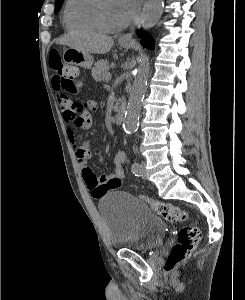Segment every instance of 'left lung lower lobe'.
<instances>
[{"mask_svg":"<svg viewBox=\"0 0 245 300\" xmlns=\"http://www.w3.org/2000/svg\"><path fill=\"white\" fill-rule=\"evenodd\" d=\"M138 37L142 38L141 43L146 47V48H152L153 47V41L151 37L148 36L147 32H144L142 30L137 31Z\"/></svg>","mask_w":245,"mask_h":300,"instance_id":"0a47b994","label":"left lung lower lobe"}]
</instances>
